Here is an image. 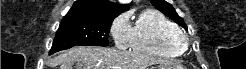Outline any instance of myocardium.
Listing matches in <instances>:
<instances>
[{
  "instance_id": "1",
  "label": "myocardium",
  "mask_w": 246,
  "mask_h": 69,
  "mask_svg": "<svg viewBox=\"0 0 246 69\" xmlns=\"http://www.w3.org/2000/svg\"><path fill=\"white\" fill-rule=\"evenodd\" d=\"M177 37L184 44H186L187 41H188L187 37L182 32H180V31L177 32Z\"/></svg>"
}]
</instances>
